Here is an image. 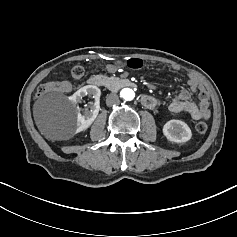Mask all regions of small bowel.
I'll use <instances>...</instances> for the list:
<instances>
[{
    "label": "small bowel",
    "mask_w": 237,
    "mask_h": 237,
    "mask_svg": "<svg viewBox=\"0 0 237 237\" xmlns=\"http://www.w3.org/2000/svg\"><path fill=\"white\" fill-rule=\"evenodd\" d=\"M119 64H109L107 70L115 72L119 69ZM174 70H179V67H174ZM51 91L70 92L72 85L67 81L51 82ZM189 90H182L175 98L168 103V110L174 115H189L194 120L210 118L209 109V94L207 90L200 84L198 79L189 75L188 80ZM192 92L198 91L199 102L196 103L190 100ZM141 104L147 109H156L162 105V100L148 94H142L140 97Z\"/></svg>",
    "instance_id": "small-bowel-1"
}]
</instances>
